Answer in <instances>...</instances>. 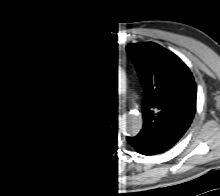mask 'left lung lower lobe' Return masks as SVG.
<instances>
[{"instance_id":"obj_1","label":"left lung lower lobe","mask_w":220,"mask_h":196,"mask_svg":"<svg viewBox=\"0 0 220 196\" xmlns=\"http://www.w3.org/2000/svg\"><path fill=\"white\" fill-rule=\"evenodd\" d=\"M128 141L133 144L139 152L145 155L157 154L166 150L142 134H138L135 137H128Z\"/></svg>"}]
</instances>
